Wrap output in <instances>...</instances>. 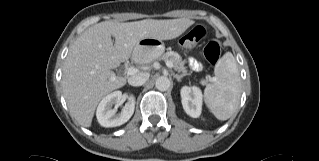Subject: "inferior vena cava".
Masks as SVG:
<instances>
[{
    "instance_id": "obj_1",
    "label": "inferior vena cava",
    "mask_w": 319,
    "mask_h": 161,
    "mask_svg": "<svg viewBox=\"0 0 319 161\" xmlns=\"http://www.w3.org/2000/svg\"><path fill=\"white\" fill-rule=\"evenodd\" d=\"M149 79V73L140 72L128 78V83L132 86H141Z\"/></svg>"
}]
</instances>
